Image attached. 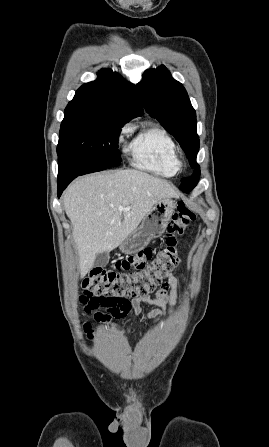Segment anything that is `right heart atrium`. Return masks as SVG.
<instances>
[{"label": "right heart atrium", "instance_id": "right-heart-atrium-1", "mask_svg": "<svg viewBox=\"0 0 269 447\" xmlns=\"http://www.w3.org/2000/svg\"><path fill=\"white\" fill-rule=\"evenodd\" d=\"M129 129H130L129 125H124V126L121 127L120 132H119V136H118V140H119L120 143L123 142V140H124L126 134L128 133Z\"/></svg>", "mask_w": 269, "mask_h": 447}]
</instances>
